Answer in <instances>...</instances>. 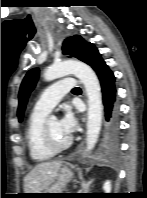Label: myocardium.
<instances>
[{
	"mask_svg": "<svg viewBox=\"0 0 147 198\" xmlns=\"http://www.w3.org/2000/svg\"><path fill=\"white\" fill-rule=\"evenodd\" d=\"M42 138H43V143L46 149L52 154H57L66 150L67 148L70 147L71 142H72L71 138H69V140L64 145H61V146L56 145L50 136L47 123H45L43 126Z\"/></svg>",
	"mask_w": 147,
	"mask_h": 198,
	"instance_id": "obj_1",
	"label": "myocardium"
}]
</instances>
